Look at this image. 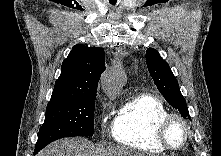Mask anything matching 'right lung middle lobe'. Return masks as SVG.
Here are the masks:
<instances>
[{
    "mask_svg": "<svg viewBox=\"0 0 221 156\" xmlns=\"http://www.w3.org/2000/svg\"><path fill=\"white\" fill-rule=\"evenodd\" d=\"M95 99L96 93L70 100L50 101L34 153L59 138L92 136Z\"/></svg>",
    "mask_w": 221,
    "mask_h": 156,
    "instance_id": "1",
    "label": "right lung middle lobe"
}]
</instances>
